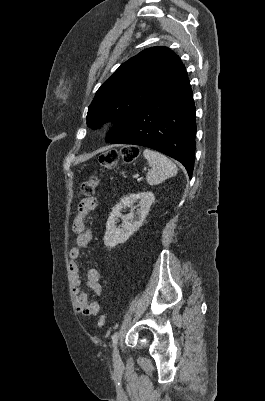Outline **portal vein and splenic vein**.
I'll return each instance as SVG.
<instances>
[{"mask_svg":"<svg viewBox=\"0 0 265 401\" xmlns=\"http://www.w3.org/2000/svg\"><path fill=\"white\" fill-rule=\"evenodd\" d=\"M138 176H139V174H133V175H132V178H133V179H137Z\"/></svg>","mask_w":265,"mask_h":401,"instance_id":"portal-vein-and-splenic-vein-1","label":"portal vein and splenic vein"}]
</instances>
